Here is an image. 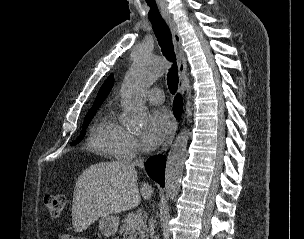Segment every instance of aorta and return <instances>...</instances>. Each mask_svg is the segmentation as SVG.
<instances>
[{
	"mask_svg": "<svg viewBox=\"0 0 304 239\" xmlns=\"http://www.w3.org/2000/svg\"><path fill=\"white\" fill-rule=\"evenodd\" d=\"M165 71V63L155 57H137L128 71L122 87L123 119L132 126L142 124L147 116L143 93ZM188 135L180 132L172 144L165 167V192L173 200L180 189L187 156Z\"/></svg>",
	"mask_w": 304,
	"mask_h": 239,
	"instance_id": "aorta-1",
	"label": "aorta"
}]
</instances>
